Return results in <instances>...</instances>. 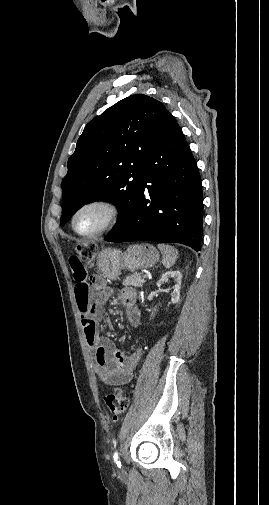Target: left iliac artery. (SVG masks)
I'll use <instances>...</instances> for the list:
<instances>
[{
  "label": "left iliac artery",
  "instance_id": "44dca946",
  "mask_svg": "<svg viewBox=\"0 0 269 505\" xmlns=\"http://www.w3.org/2000/svg\"><path fill=\"white\" fill-rule=\"evenodd\" d=\"M113 458H114V461H115L116 465L120 468L121 467V463L119 461V452L118 451H115V453L113 455Z\"/></svg>",
  "mask_w": 269,
  "mask_h": 505
}]
</instances>
